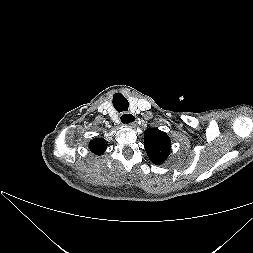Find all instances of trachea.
Segmentation results:
<instances>
[{
    "label": "trachea",
    "instance_id": "3493384b",
    "mask_svg": "<svg viewBox=\"0 0 253 253\" xmlns=\"http://www.w3.org/2000/svg\"><path fill=\"white\" fill-rule=\"evenodd\" d=\"M113 106L118 112H122L128 110L129 104L124 96L118 94L113 98Z\"/></svg>",
    "mask_w": 253,
    "mask_h": 253
}]
</instances>
